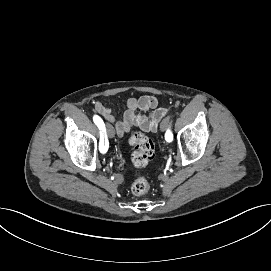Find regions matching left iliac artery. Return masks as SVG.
I'll return each mask as SVG.
<instances>
[{
	"mask_svg": "<svg viewBox=\"0 0 271 271\" xmlns=\"http://www.w3.org/2000/svg\"><path fill=\"white\" fill-rule=\"evenodd\" d=\"M172 134V131L171 130H168L166 133H165V136H166V139L168 141H173L174 140V137L171 135Z\"/></svg>",
	"mask_w": 271,
	"mask_h": 271,
	"instance_id": "1",
	"label": "left iliac artery"
}]
</instances>
